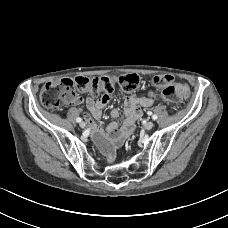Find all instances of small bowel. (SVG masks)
Listing matches in <instances>:
<instances>
[{
  "label": "small bowel",
  "mask_w": 228,
  "mask_h": 228,
  "mask_svg": "<svg viewBox=\"0 0 228 228\" xmlns=\"http://www.w3.org/2000/svg\"><path fill=\"white\" fill-rule=\"evenodd\" d=\"M108 94H103L97 99L88 98L87 107L91 116L86 115L92 135L101 149L112 158L114 151L124 140L133 132L135 122L142 116V108L151 107L158 101V98L151 97L147 94H132L124 102V121L119 124L116 121L110 123L105 129L95 124L93 119L98 120L102 117V111L109 102ZM112 118L119 116V111L113 109L110 112Z\"/></svg>",
  "instance_id": "small-bowel-1"
}]
</instances>
